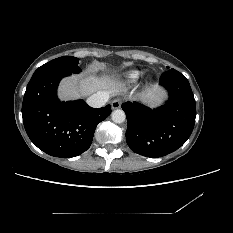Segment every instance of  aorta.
<instances>
[{"mask_svg":"<svg viewBox=\"0 0 233 233\" xmlns=\"http://www.w3.org/2000/svg\"><path fill=\"white\" fill-rule=\"evenodd\" d=\"M112 120L115 123H122L126 119V115L123 110L121 109H116L112 112L111 114Z\"/></svg>","mask_w":233,"mask_h":233,"instance_id":"obj_1","label":"aorta"}]
</instances>
